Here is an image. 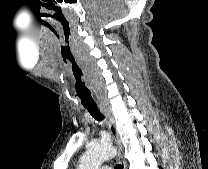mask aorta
<instances>
[{"mask_svg": "<svg viewBox=\"0 0 208 169\" xmlns=\"http://www.w3.org/2000/svg\"><path fill=\"white\" fill-rule=\"evenodd\" d=\"M116 154L110 143H96L90 146L80 158L78 169H99L100 165Z\"/></svg>", "mask_w": 208, "mask_h": 169, "instance_id": "aorta-1", "label": "aorta"}]
</instances>
